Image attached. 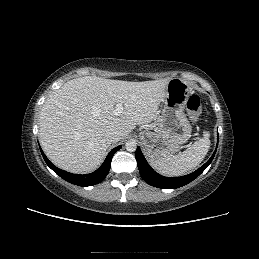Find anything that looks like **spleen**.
Returning a JSON list of instances; mask_svg holds the SVG:
<instances>
[{
  "mask_svg": "<svg viewBox=\"0 0 259 259\" xmlns=\"http://www.w3.org/2000/svg\"><path fill=\"white\" fill-rule=\"evenodd\" d=\"M210 133L204 131L203 137L179 155L151 159L152 167L165 176H181L198 166L210 148Z\"/></svg>",
  "mask_w": 259,
  "mask_h": 259,
  "instance_id": "1",
  "label": "spleen"
}]
</instances>
